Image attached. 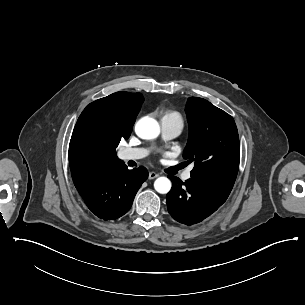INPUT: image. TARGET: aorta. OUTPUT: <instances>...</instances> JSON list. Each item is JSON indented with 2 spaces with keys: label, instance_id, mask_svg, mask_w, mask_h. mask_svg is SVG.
Wrapping results in <instances>:
<instances>
[{
  "label": "aorta",
  "instance_id": "1",
  "mask_svg": "<svg viewBox=\"0 0 305 305\" xmlns=\"http://www.w3.org/2000/svg\"><path fill=\"white\" fill-rule=\"evenodd\" d=\"M135 132L142 139H154L160 133V126L155 119L146 116L136 123ZM171 186V181L167 177H159L154 182V188L160 194H167Z\"/></svg>",
  "mask_w": 305,
  "mask_h": 305
}]
</instances>
